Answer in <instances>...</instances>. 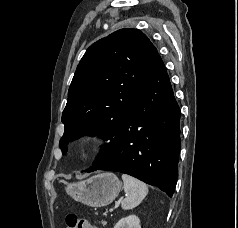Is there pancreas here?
<instances>
[{
  "mask_svg": "<svg viewBox=\"0 0 238 228\" xmlns=\"http://www.w3.org/2000/svg\"><path fill=\"white\" fill-rule=\"evenodd\" d=\"M101 223H102L103 225H105V224H106V222H105V221H102Z\"/></svg>",
  "mask_w": 238,
  "mask_h": 228,
  "instance_id": "1",
  "label": "pancreas"
}]
</instances>
